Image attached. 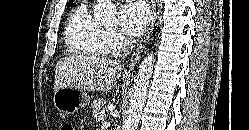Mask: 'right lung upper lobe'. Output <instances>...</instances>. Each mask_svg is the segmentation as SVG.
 <instances>
[{"label": "right lung upper lobe", "instance_id": "right-lung-upper-lobe-1", "mask_svg": "<svg viewBox=\"0 0 249 130\" xmlns=\"http://www.w3.org/2000/svg\"><path fill=\"white\" fill-rule=\"evenodd\" d=\"M72 2H73V0H69L68 5H69V4H72Z\"/></svg>", "mask_w": 249, "mask_h": 130}]
</instances>
